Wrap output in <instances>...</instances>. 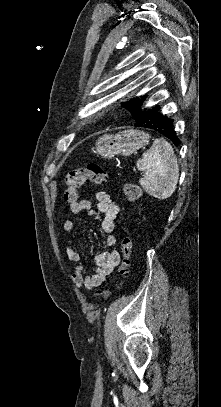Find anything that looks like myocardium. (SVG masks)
<instances>
[{
  "instance_id": "obj_1",
  "label": "myocardium",
  "mask_w": 221,
  "mask_h": 407,
  "mask_svg": "<svg viewBox=\"0 0 221 407\" xmlns=\"http://www.w3.org/2000/svg\"><path fill=\"white\" fill-rule=\"evenodd\" d=\"M95 108L97 109L98 113L103 112V110H104V108L102 106H99V105L95 106Z\"/></svg>"
}]
</instances>
